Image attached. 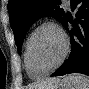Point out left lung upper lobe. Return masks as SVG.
Segmentation results:
<instances>
[{
    "label": "left lung upper lobe",
    "instance_id": "obj_1",
    "mask_svg": "<svg viewBox=\"0 0 89 89\" xmlns=\"http://www.w3.org/2000/svg\"><path fill=\"white\" fill-rule=\"evenodd\" d=\"M60 4V0H9L10 24L19 53L29 27L36 20L50 16L63 22L65 12L59 7Z\"/></svg>",
    "mask_w": 89,
    "mask_h": 89
}]
</instances>
